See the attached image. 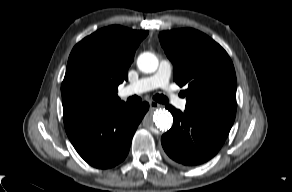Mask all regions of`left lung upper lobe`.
<instances>
[{"label":"left lung upper lobe","mask_w":292,"mask_h":192,"mask_svg":"<svg viewBox=\"0 0 292 192\" xmlns=\"http://www.w3.org/2000/svg\"><path fill=\"white\" fill-rule=\"evenodd\" d=\"M174 66V80L183 91L185 113L233 122L236 115V75L227 52L200 31L185 28L159 34Z\"/></svg>","instance_id":"5c2ea615"}]
</instances>
